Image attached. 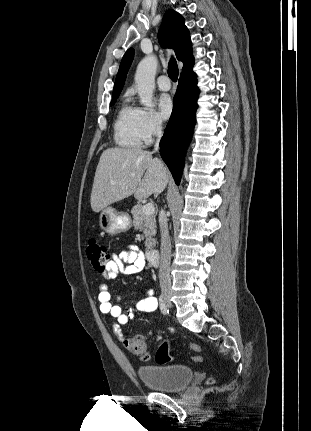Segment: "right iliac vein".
I'll list each match as a JSON object with an SVG mask.
<instances>
[{
    "instance_id": "obj_1",
    "label": "right iliac vein",
    "mask_w": 311,
    "mask_h": 431,
    "mask_svg": "<svg viewBox=\"0 0 311 431\" xmlns=\"http://www.w3.org/2000/svg\"><path fill=\"white\" fill-rule=\"evenodd\" d=\"M164 298L167 302H170V294L168 292L164 293Z\"/></svg>"
}]
</instances>
